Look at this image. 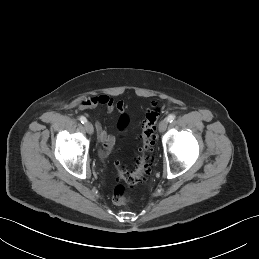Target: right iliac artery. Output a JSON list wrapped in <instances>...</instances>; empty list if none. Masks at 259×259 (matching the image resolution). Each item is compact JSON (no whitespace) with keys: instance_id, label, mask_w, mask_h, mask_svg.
Instances as JSON below:
<instances>
[{"instance_id":"obj_1","label":"right iliac artery","mask_w":259,"mask_h":259,"mask_svg":"<svg viewBox=\"0 0 259 259\" xmlns=\"http://www.w3.org/2000/svg\"><path fill=\"white\" fill-rule=\"evenodd\" d=\"M79 120L81 123L85 124L87 122V119L84 116H80Z\"/></svg>"}]
</instances>
